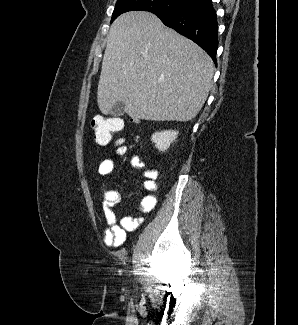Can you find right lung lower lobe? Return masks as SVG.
<instances>
[{
    "label": "right lung lower lobe",
    "mask_w": 298,
    "mask_h": 325,
    "mask_svg": "<svg viewBox=\"0 0 298 325\" xmlns=\"http://www.w3.org/2000/svg\"><path fill=\"white\" fill-rule=\"evenodd\" d=\"M154 14L166 26L197 43L217 64L218 24L211 0H193L177 10Z\"/></svg>",
    "instance_id": "98d812e1"
}]
</instances>
